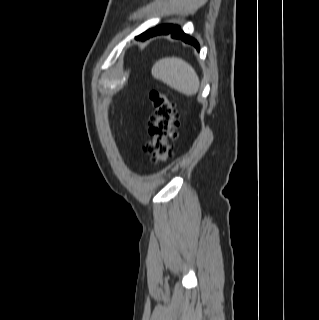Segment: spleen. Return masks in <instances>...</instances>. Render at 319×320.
<instances>
[{
    "instance_id": "obj_1",
    "label": "spleen",
    "mask_w": 319,
    "mask_h": 320,
    "mask_svg": "<svg viewBox=\"0 0 319 320\" xmlns=\"http://www.w3.org/2000/svg\"><path fill=\"white\" fill-rule=\"evenodd\" d=\"M152 76L178 92L193 96L200 86V81L193 67L178 57L158 60L151 70Z\"/></svg>"
}]
</instances>
